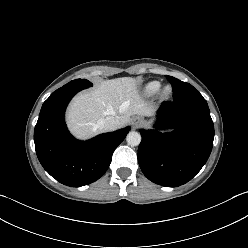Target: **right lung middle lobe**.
<instances>
[{
	"label": "right lung middle lobe",
	"mask_w": 248,
	"mask_h": 248,
	"mask_svg": "<svg viewBox=\"0 0 248 248\" xmlns=\"http://www.w3.org/2000/svg\"><path fill=\"white\" fill-rule=\"evenodd\" d=\"M92 86V83L86 79H76L73 80L69 83H67L66 85H64L61 88H71V87H80L82 89L88 88Z\"/></svg>",
	"instance_id": "1"
}]
</instances>
